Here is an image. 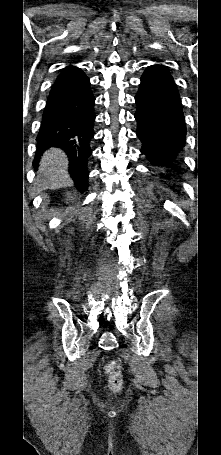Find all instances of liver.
Here are the masks:
<instances>
[{
  "label": "liver",
  "mask_w": 221,
  "mask_h": 455,
  "mask_svg": "<svg viewBox=\"0 0 221 455\" xmlns=\"http://www.w3.org/2000/svg\"><path fill=\"white\" fill-rule=\"evenodd\" d=\"M67 158L56 148L47 150L40 161L37 184L42 189H53L68 182Z\"/></svg>",
  "instance_id": "1"
}]
</instances>
